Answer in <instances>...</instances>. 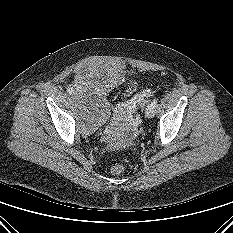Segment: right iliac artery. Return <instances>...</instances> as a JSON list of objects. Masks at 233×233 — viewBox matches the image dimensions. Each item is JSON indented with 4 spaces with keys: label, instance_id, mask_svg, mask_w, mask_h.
Here are the masks:
<instances>
[{
    "label": "right iliac artery",
    "instance_id": "obj_1",
    "mask_svg": "<svg viewBox=\"0 0 233 233\" xmlns=\"http://www.w3.org/2000/svg\"><path fill=\"white\" fill-rule=\"evenodd\" d=\"M67 92H68L69 94H72V93H73V90H72L71 88H69V89L67 90Z\"/></svg>",
    "mask_w": 233,
    "mask_h": 233
}]
</instances>
